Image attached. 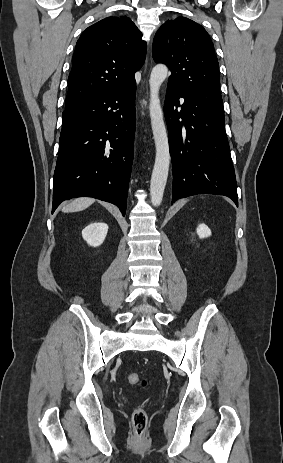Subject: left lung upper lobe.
<instances>
[{"label":"left lung upper lobe","mask_w":283,"mask_h":463,"mask_svg":"<svg viewBox=\"0 0 283 463\" xmlns=\"http://www.w3.org/2000/svg\"><path fill=\"white\" fill-rule=\"evenodd\" d=\"M152 54L155 62L171 70L169 84L202 108L224 116L218 60L201 25L185 17L166 21L155 35Z\"/></svg>","instance_id":"left-lung-upper-lobe-1"}]
</instances>
